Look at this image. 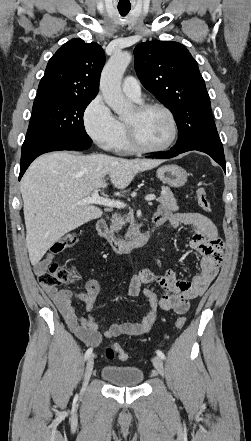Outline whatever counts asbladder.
<instances>
[{
    "mask_svg": "<svg viewBox=\"0 0 251 441\" xmlns=\"http://www.w3.org/2000/svg\"><path fill=\"white\" fill-rule=\"evenodd\" d=\"M101 376L110 384L119 387L138 386L144 380L143 371L132 366L105 365L101 370Z\"/></svg>",
    "mask_w": 251,
    "mask_h": 441,
    "instance_id": "obj_1",
    "label": "bladder"
}]
</instances>
